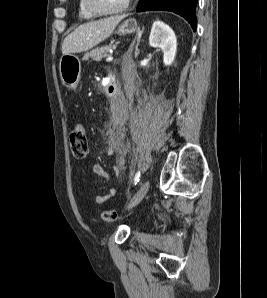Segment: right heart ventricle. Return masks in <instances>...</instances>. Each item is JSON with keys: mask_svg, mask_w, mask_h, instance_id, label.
<instances>
[{"mask_svg": "<svg viewBox=\"0 0 267 298\" xmlns=\"http://www.w3.org/2000/svg\"><path fill=\"white\" fill-rule=\"evenodd\" d=\"M78 15L79 17L83 18L84 20H93L96 16L90 13L84 4V0L78 1Z\"/></svg>", "mask_w": 267, "mask_h": 298, "instance_id": "obj_1", "label": "right heart ventricle"}]
</instances>
